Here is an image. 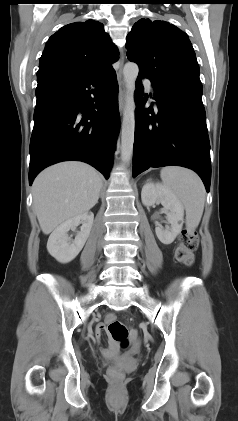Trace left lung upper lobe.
<instances>
[{
	"mask_svg": "<svg viewBox=\"0 0 238 421\" xmlns=\"http://www.w3.org/2000/svg\"><path fill=\"white\" fill-rule=\"evenodd\" d=\"M127 57L139 74L161 82L188 75L199 76V65L186 33L166 21L140 19L127 35Z\"/></svg>",
	"mask_w": 238,
	"mask_h": 421,
	"instance_id": "5c2ea615",
	"label": "left lung upper lobe"
}]
</instances>
